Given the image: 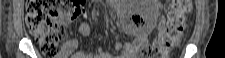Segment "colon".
I'll use <instances>...</instances> for the list:
<instances>
[{
  "label": "colon",
  "mask_w": 225,
  "mask_h": 58,
  "mask_svg": "<svg viewBox=\"0 0 225 58\" xmlns=\"http://www.w3.org/2000/svg\"><path fill=\"white\" fill-rule=\"evenodd\" d=\"M81 0H28L26 24L39 44L42 52L49 57L58 55L65 41L63 19H75L80 13ZM189 0H173L166 24L159 38L153 44L137 48L138 58H150L157 53L167 56L177 45L184 33L185 19L191 12Z\"/></svg>",
  "instance_id": "colon-1"
}]
</instances>
